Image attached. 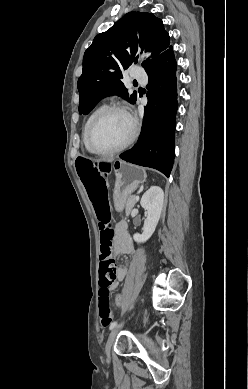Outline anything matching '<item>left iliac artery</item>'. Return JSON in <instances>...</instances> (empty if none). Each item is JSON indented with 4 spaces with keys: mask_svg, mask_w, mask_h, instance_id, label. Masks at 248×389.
I'll list each match as a JSON object with an SVG mask.
<instances>
[{
    "mask_svg": "<svg viewBox=\"0 0 248 389\" xmlns=\"http://www.w3.org/2000/svg\"><path fill=\"white\" fill-rule=\"evenodd\" d=\"M131 308H132V307H131ZM116 326H117V321H114V322H112V323L110 324L109 329L111 330V329L115 328Z\"/></svg>",
    "mask_w": 248,
    "mask_h": 389,
    "instance_id": "44dca946",
    "label": "left iliac artery"
}]
</instances>
